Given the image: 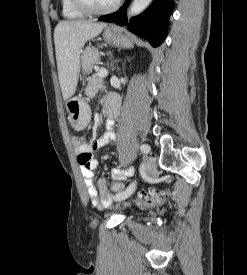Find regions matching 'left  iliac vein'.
<instances>
[{"instance_id": "left-iliac-vein-1", "label": "left iliac vein", "mask_w": 247, "mask_h": 275, "mask_svg": "<svg viewBox=\"0 0 247 275\" xmlns=\"http://www.w3.org/2000/svg\"><path fill=\"white\" fill-rule=\"evenodd\" d=\"M145 164H146V173L149 176H153L156 173V160L153 157H146L145 159ZM124 192L127 193L126 197L124 199H126L127 197H129L133 192H128V190L126 189ZM123 199V200H124ZM121 201V200H120Z\"/></svg>"}]
</instances>
